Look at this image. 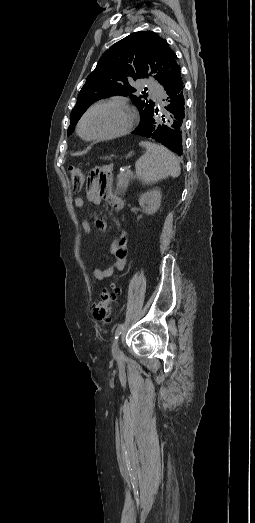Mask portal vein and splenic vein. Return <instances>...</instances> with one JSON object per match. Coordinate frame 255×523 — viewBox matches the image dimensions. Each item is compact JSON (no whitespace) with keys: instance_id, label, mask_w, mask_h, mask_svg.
Listing matches in <instances>:
<instances>
[{"instance_id":"1","label":"portal vein and splenic vein","mask_w":255,"mask_h":523,"mask_svg":"<svg viewBox=\"0 0 255 523\" xmlns=\"http://www.w3.org/2000/svg\"><path fill=\"white\" fill-rule=\"evenodd\" d=\"M126 173H131V168H126Z\"/></svg>"}]
</instances>
